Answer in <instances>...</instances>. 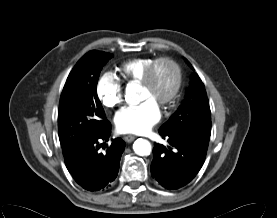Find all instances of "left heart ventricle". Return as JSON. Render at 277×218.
Listing matches in <instances>:
<instances>
[{
    "instance_id": "b2bd125f",
    "label": "left heart ventricle",
    "mask_w": 277,
    "mask_h": 218,
    "mask_svg": "<svg viewBox=\"0 0 277 218\" xmlns=\"http://www.w3.org/2000/svg\"><path fill=\"white\" fill-rule=\"evenodd\" d=\"M173 80L172 69L164 63H160L156 70L155 84L152 88H143L144 97L158 99L170 88Z\"/></svg>"
}]
</instances>
